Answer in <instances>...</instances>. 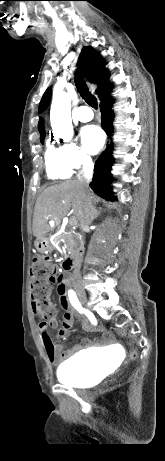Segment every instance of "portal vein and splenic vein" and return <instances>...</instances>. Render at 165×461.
Masks as SVG:
<instances>
[{
  "mask_svg": "<svg viewBox=\"0 0 165 461\" xmlns=\"http://www.w3.org/2000/svg\"><path fill=\"white\" fill-rule=\"evenodd\" d=\"M69 224H70V225H75V224H77L76 218H75V217L70 218Z\"/></svg>",
  "mask_w": 165,
  "mask_h": 461,
  "instance_id": "obj_1",
  "label": "portal vein and splenic vein"
}]
</instances>
